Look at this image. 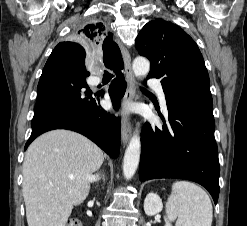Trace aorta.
I'll use <instances>...</instances> for the list:
<instances>
[{
	"label": "aorta",
	"instance_id": "aorta-1",
	"mask_svg": "<svg viewBox=\"0 0 247 226\" xmlns=\"http://www.w3.org/2000/svg\"><path fill=\"white\" fill-rule=\"evenodd\" d=\"M136 77H145L150 70V62L145 57H136L132 64ZM141 143L138 131L132 136L125 151L123 160V174L126 179H131L139 165Z\"/></svg>",
	"mask_w": 247,
	"mask_h": 226
}]
</instances>
